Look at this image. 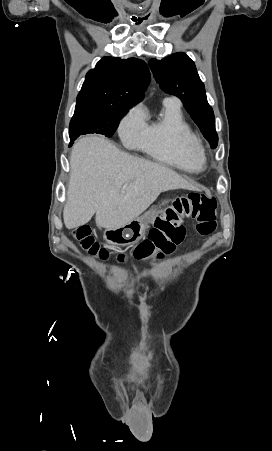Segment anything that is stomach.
<instances>
[{"label": "stomach", "instance_id": "obj_1", "mask_svg": "<svg viewBox=\"0 0 272 451\" xmlns=\"http://www.w3.org/2000/svg\"><path fill=\"white\" fill-rule=\"evenodd\" d=\"M167 204V202H163ZM162 204V206H163ZM159 210L156 206H152L149 212H145L143 216L134 218L131 222H127L124 226L112 227V229H105L103 237L110 245H133L135 241L141 239L149 229V224L155 220Z\"/></svg>", "mask_w": 272, "mask_h": 451}]
</instances>
